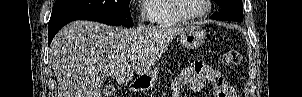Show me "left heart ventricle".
<instances>
[{"instance_id": "left-heart-ventricle-1", "label": "left heart ventricle", "mask_w": 302, "mask_h": 97, "mask_svg": "<svg viewBox=\"0 0 302 97\" xmlns=\"http://www.w3.org/2000/svg\"><path fill=\"white\" fill-rule=\"evenodd\" d=\"M181 10L187 15H195L205 8L204 0H179Z\"/></svg>"}]
</instances>
